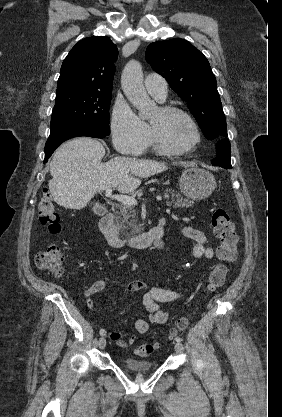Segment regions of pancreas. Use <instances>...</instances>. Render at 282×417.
Returning a JSON list of instances; mask_svg holds the SVG:
<instances>
[{"label": "pancreas", "mask_w": 282, "mask_h": 417, "mask_svg": "<svg viewBox=\"0 0 282 417\" xmlns=\"http://www.w3.org/2000/svg\"><path fill=\"white\" fill-rule=\"evenodd\" d=\"M164 196L166 204L174 206V209H177V206H184V209H188V206H192L194 202L189 198H183L180 192H176L172 188H165ZM119 209L120 213H117L115 217V225L119 227L122 237L128 241L132 235L135 237V235L143 233L142 225H138L134 204H120Z\"/></svg>", "instance_id": "pancreas-1"}]
</instances>
